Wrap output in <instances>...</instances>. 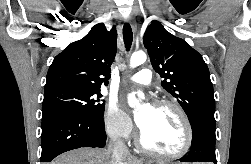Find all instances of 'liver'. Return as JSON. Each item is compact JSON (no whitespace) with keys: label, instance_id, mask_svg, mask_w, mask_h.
I'll return each mask as SVG.
<instances>
[{"label":"liver","instance_id":"obj_1","mask_svg":"<svg viewBox=\"0 0 251 164\" xmlns=\"http://www.w3.org/2000/svg\"><path fill=\"white\" fill-rule=\"evenodd\" d=\"M50 164H114L110 149L80 148L57 157ZM121 164H142L133 156H126Z\"/></svg>","mask_w":251,"mask_h":164}]
</instances>
